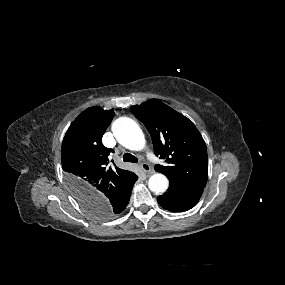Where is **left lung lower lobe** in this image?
Returning <instances> with one entry per match:
<instances>
[{
	"mask_svg": "<svg viewBox=\"0 0 285 285\" xmlns=\"http://www.w3.org/2000/svg\"><path fill=\"white\" fill-rule=\"evenodd\" d=\"M168 191L157 197L158 203L171 212H183L194 207L204 188L190 186L175 180H169Z\"/></svg>",
	"mask_w": 285,
	"mask_h": 285,
	"instance_id": "left-lung-lower-lobe-1",
	"label": "left lung lower lobe"
}]
</instances>
